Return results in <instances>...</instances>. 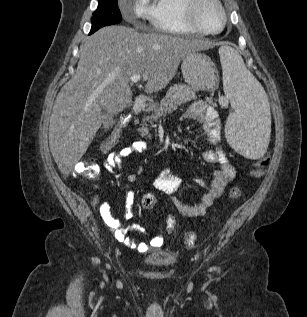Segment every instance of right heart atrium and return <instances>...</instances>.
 Here are the masks:
<instances>
[{"label":"right heart atrium","mask_w":307,"mask_h":317,"mask_svg":"<svg viewBox=\"0 0 307 317\" xmlns=\"http://www.w3.org/2000/svg\"><path fill=\"white\" fill-rule=\"evenodd\" d=\"M155 5L153 0H134L127 17L151 20L154 15Z\"/></svg>","instance_id":"d8ad5b80"}]
</instances>
